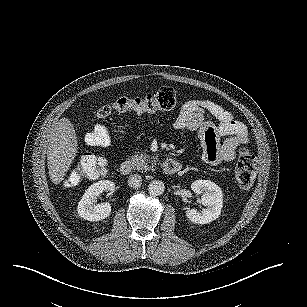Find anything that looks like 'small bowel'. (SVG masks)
Listing matches in <instances>:
<instances>
[{
    "label": "small bowel",
    "instance_id": "c3829d8e",
    "mask_svg": "<svg viewBox=\"0 0 307 307\" xmlns=\"http://www.w3.org/2000/svg\"><path fill=\"white\" fill-rule=\"evenodd\" d=\"M174 126L179 130L197 132L202 158L211 165L234 160L237 147L249 141L246 126L222 106L209 100L187 101L175 119ZM224 136L226 139L221 141Z\"/></svg>",
    "mask_w": 307,
    "mask_h": 307
}]
</instances>
